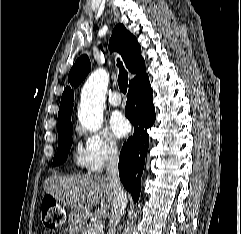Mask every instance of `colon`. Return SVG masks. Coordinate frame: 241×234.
Here are the masks:
<instances>
[{"label": "colon", "instance_id": "colon-1", "mask_svg": "<svg viewBox=\"0 0 241 234\" xmlns=\"http://www.w3.org/2000/svg\"><path fill=\"white\" fill-rule=\"evenodd\" d=\"M41 220L45 227L55 229L63 224L65 213L52 197H46L42 201Z\"/></svg>", "mask_w": 241, "mask_h": 234}]
</instances>
